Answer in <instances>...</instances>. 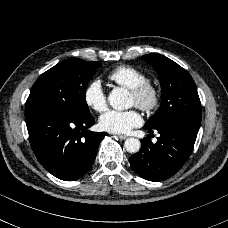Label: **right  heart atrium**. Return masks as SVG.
<instances>
[{"label":"right heart atrium","instance_id":"1","mask_svg":"<svg viewBox=\"0 0 228 228\" xmlns=\"http://www.w3.org/2000/svg\"><path fill=\"white\" fill-rule=\"evenodd\" d=\"M83 99L85 104L96 112H102L107 108V94L100 79H92L87 83Z\"/></svg>","mask_w":228,"mask_h":228}]
</instances>
